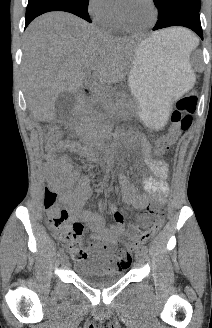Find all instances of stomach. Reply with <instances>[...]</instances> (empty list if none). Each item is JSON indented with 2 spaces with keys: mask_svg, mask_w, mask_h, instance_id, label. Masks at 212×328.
<instances>
[{
  "mask_svg": "<svg viewBox=\"0 0 212 328\" xmlns=\"http://www.w3.org/2000/svg\"><path fill=\"white\" fill-rule=\"evenodd\" d=\"M128 82L140 117L159 129L172 102L192 88L195 75L179 46L149 37L134 53Z\"/></svg>",
  "mask_w": 212,
  "mask_h": 328,
  "instance_id": "0dacf381",
  "label": "stomach"
}]
</instances>
